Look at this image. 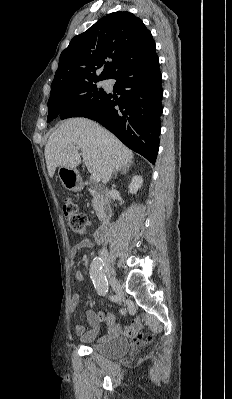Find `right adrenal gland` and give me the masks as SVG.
<instances>
[{"mask_svg": "<svg viewBox=\"0 0 232 399\" xmlns=\"http://www.w3.org/2000/svg\"><path fill=\"white\" fill-rule=\"evenodd\" d=\"M130 166H132V164H126V166H123V168H119V170H116L113 180H115L117 172H121V174H128Z\"/></svg>", "mask_w": 232, "mask_h": 399, "instance_id": "2a0ac1e0", "label": "right adrenal gland"}]
</instances>
